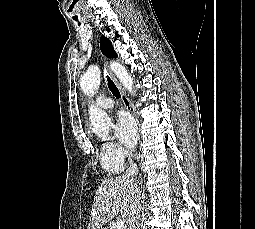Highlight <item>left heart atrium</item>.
Here are the masks:
<instances>
[{"label": "left heart atrium", "instance_id": "39dd6f15", "mask_svg": "<svg viewBox=\"0 0 255 229\" xmlns=\"http://www.w3.org/2000/svg\"><path fill=\"white\" fill-rule=\"evenodd\" d=\"M117 138L128 148L135 146L138 139L137 127L127 114L120 113L114 126Z\"/></svg>", "mask_w": 255, "mask_h": 229}]
</instances>
